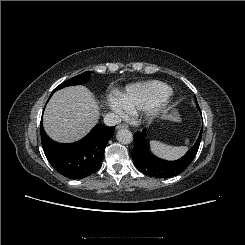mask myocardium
I'll list each match as a JSON object with an SVG mask.
<instances>
[{"label": "myocardium", "mask_w": 245, "mask_h": 245, "mask_svg": "<svg viewBox=\"0 0 245 245\" xmlns=\"http://www.w3.org/2000/svg\"><path fill=\"white\" fill-rule=\"evenodd\" d=\"M168 105V98L163 99L147 108H145L146 115L150 118L158 115Z\"/></svg>", "instance_id": "1"}]
</instances>
